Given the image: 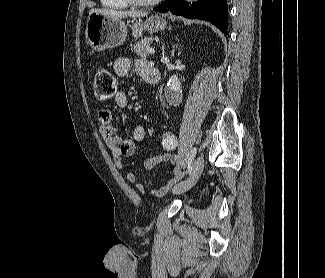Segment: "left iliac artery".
Returning a JSON list of instances; mask_svg holds the SVG:
<instances>
[{
  "label": "left iliac artery",
  "instance_id": "44dca946",
  "mask_svg": "<svg viewBox=\"0 0 325 278\" xmlns=\"http://www.w3.org/2000/svg\"><path fill=\"white\" fill-rule=\"evenodd\" d=\"M197 149L193 148L191 153H190V157H189V161H188V173H191L192 171V160L194 158V156L196 155Z\"/></svg>",
  "mask_w": 325,
  "mask_h": 278
}]
</instances>
